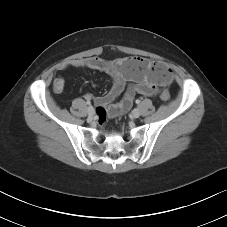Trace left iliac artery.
I'll return each instance as SVG.
<instances>
[{"instance_id": "obj_1", "label": "left iliac artery", "mask_w": 227, "mask_h": 227, "mask_svg": "<svg viewBox=\"0 0 227 227\" xmlns=\"http://www.w3.org/2000/svg\"><path fill=\"white\" fill-rule=\"evenodd\" d=\"M139 103H140V100H139V99H137V100H136V104H139Z\"/></svg>"}]
</instances>
